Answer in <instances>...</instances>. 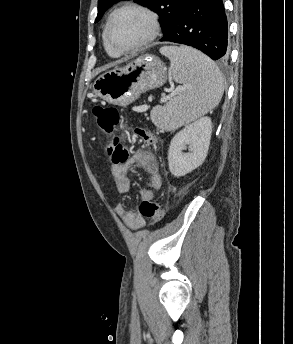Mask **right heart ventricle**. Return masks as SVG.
<instances>
[{
	"label": "right heart ventricle",
	"mask_w": 293,
	"mask_h": 344,
	"mask_svg": "<svg viewBox=\"0 0 293 344\" xmlns=\"http://www.w3.org/2000/svg\"><path fill=\"white\" fill-rule=\"evenodd\" d=\"M103 42H104L105 50H106V52L108 53L109 56H111L113 58H117V57L120 56V54H117L116 52H114L112 49H110L108 47V45L106 44L105 39H104V33H103Z\"/></svg>",
	"instance_id": "e07e8e85"
}]
</instances>
